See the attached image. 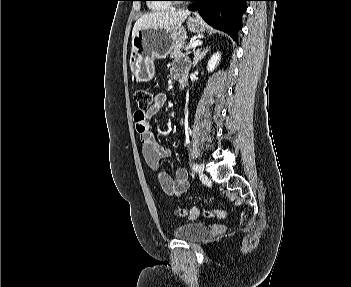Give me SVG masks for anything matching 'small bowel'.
<instances>
[{"label": "small bowel", "instance_id": "c3829d8e", "mask_svg": "<svg viewBox=\"0 0 351 287\" xmlns=\"http://www.w3.org/2000/svg\"><path fill=\"white\" fill-rule=\"evenodd\" d=\"M171 71L182 78L187 71L186 62L184 60L174 61L171 65ZM166 102V94H156L152 106L147 111L137 110L134 114V120L146 164L156 173L157 180L166 194L179 196L189 188L188 172L185 168H178L175 177H171L167 172L159 170L160 160L171 157L172 152L161 146L150 130L149 120L161 111Z\"/></svg>", "mask_w": 351, "mask_h": 287}]
</instances>
